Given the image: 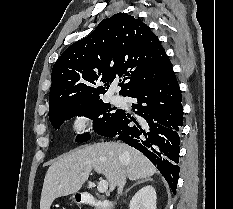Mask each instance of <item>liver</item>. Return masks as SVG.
I'll list each match as a JSON object with an SVG mask.
<instances>
[{"label":"liver","instance_id":"1","mask_svg":"<svg viewBox=\"0 0 233 209\" xmlns=\"http://www.w3.org/2000/svg\"><path fill=\"white\" fill-rule=\"evenodd\" d=\"M107 179L110 191L124 173L130 180L148 178L157 172L139 151L120 142H101L69 152L48 169L41 193L40 209H50L53 201L77 193L92 170Z\"/></svg>","mask_w":233,"mask_h":209}]
</instances>
